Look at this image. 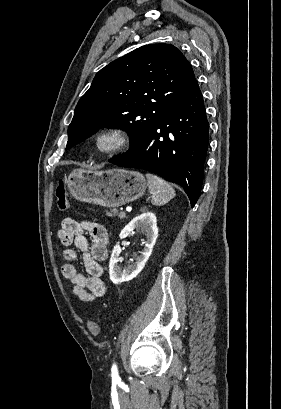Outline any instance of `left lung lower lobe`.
<instances>
[{"label":"left lung lower lobe","instance_id":"left-lung-lower-lobe-1","mask_svg":"<svg viewBox=\"0 0 281 409\" xmlns=\"http://www.w3.org/2000/svg\"><path fill=\"white\" fill-rule=\"evenodd\" d=\"M209 126L197 81L128 152L109 162L140 168L179 184L196 204L203 181Z\"/></svg>","mask_w":281,"mask_h":409}]
</instances>
